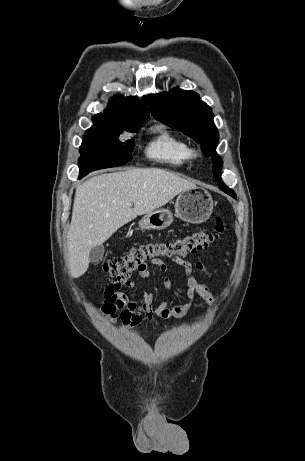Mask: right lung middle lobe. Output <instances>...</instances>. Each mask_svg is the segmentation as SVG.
Listing matches in <instances>:
<instances>
[{"instance_id":"right-lung-middle-lobe-1","label":"right lung middle lobe","mask_w":305,"mask_h":461,"mask_svg":"<svg viewBox=\"0 0 305 461\" xmlns=\"http://www.w3.org/2000/svg\"><path fill=\"white\" fill-rule=\"evenodd\" d=\"M144 121L116 122L93 119V126L85 132L80 146L79 169L84 176L96 169L125 164L131 160L134 139L123 143L119 135L124 131L137 132Z\"/></svg>"}]
</instances>
